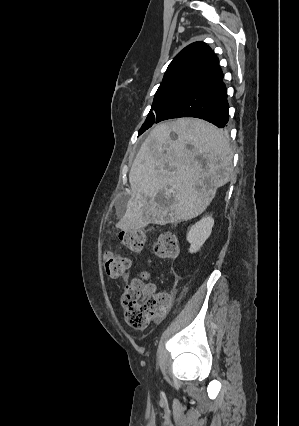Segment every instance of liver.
Masks as SVG:
<instances>
[{
  "mask_svg": "<svg viewBox=\"0 0 299 426\" xmlns=\"http://www.w3.org/2000/svg\"><path fill=\"white\" fill-rule=\"evenodd\" d=\"M232 158L228 139L211 123L180 118L158 124L133 161L131 198L116 227L137 230L197 217L232 178Z\"/></svg>",
  "mask_w": 299,
  "mask_h": 426,
  "instance_id": "obj_1",
  "label": "liver"
}]
</instances>
